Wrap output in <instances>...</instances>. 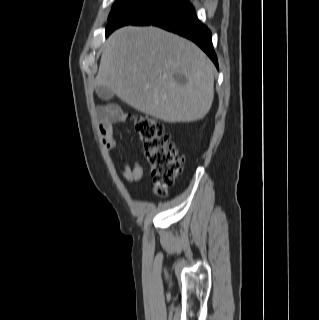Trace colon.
<instances>
[{"label":"colon","instance_id":"1","mask_svg":"<svg viewBox=\"0 0 319 320\" xmlns=\"http://www.w3.org/2000/svg\"><path fill=\"white\" fill-rule=\"evenodd\" d=\"M134 127L144 146L155 191L163 196L180 174L183 159L163 125L156 119L137 116L134 118Z\"/></svg>","mask_w":319,"mask_h":320}]
</instances>
